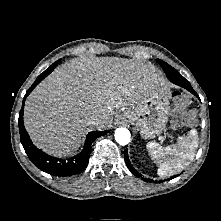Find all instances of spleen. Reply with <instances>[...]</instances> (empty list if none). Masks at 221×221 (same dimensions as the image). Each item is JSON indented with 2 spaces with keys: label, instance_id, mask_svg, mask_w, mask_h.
<instances>
[{
  "label": "spleen",
  "instance_id": "obj_1",
  "mask_svg": "<svg viewBox=\"0 0 221 221\" xmlns=\"http://www.w3.org/2000/svg\"><path fill=\"white\" fill-rule=\"evenodd\" d=\"M147 150L154 163L158 164V175L165 177L181 172L195 156L198 147L196 129L176 144L163 147L157 142H148Z\"/></svg>",
  "mask_w": 221,
  "mask_h": 221
}]
</instances>
